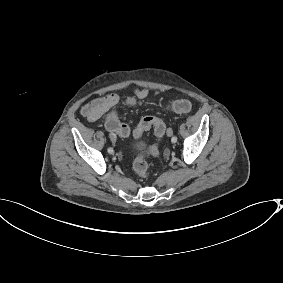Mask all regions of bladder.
<instances>
[{"label":"bladder","instance_id":"31cf9c89","mask_svg":"<svg viewBox=\"0 0 283 283\" xmlns=\"http://www.w3.org/2000/svg\"><path fill=\"white\" fill-rule=\"evenodd\" d=\"M147 145V139L139 135L132 143H131V149L134 151L140 150L145 148Z\"/></svg>","mask_w":283,"mask_h":283}]
</instances>
